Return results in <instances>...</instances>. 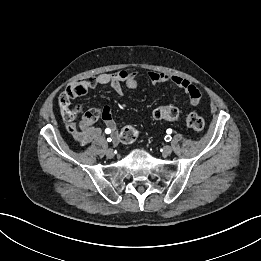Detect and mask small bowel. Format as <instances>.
Returning a JSON list of instances; mask_svg holds the SVG:
<instances>
[{
	"instance_id": "c3829d8e",
	"label": "small bowel",
	"mask_w": 261,
	"mask_h": 261,
	"mask_svg": "<svg viewBox=\"0 0 261 261\" xmlns=\"http://www.w3.org/2000/svg\"><path fill=\"white\" fill-rule=\"evenodd\" d=\"M148 76L153 84L157 85L161 83H171L179 87L187 94L191 106H195L198 104L201 96L200 91L190 81L176 75H169L157 71L149 72ZM84 83L85 92L92 90L98 86L109 85L115 92L121 93L123 84L129 89H136L138 86L136 73L126 70H120L114 73H103L95 78L84 80ZM100 109L102 112V119L104 120L106 125V129H109L116 138V122L112 117L110 109L108 107H103ZM72 111L76 113V111ZM65 114V110L62 109V115L64 119L68 122L74 138L81 144H86L101 136L102 129L97 126H93L92 124L94 123V121H88L85 114L82 119V128L80 130L75 128L73 124L74 118L72 120H68Z\"/></svg>"
}]
</instances>
